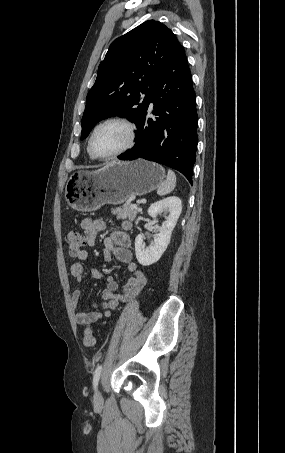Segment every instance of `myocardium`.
<instances>
[{"label":"myocardium","instance_id":"myocardium-1","mask_svg":"<svg viewBox=\"0 0 285 453\" xmlns=\"http://www.w3.org/2000/svg\"><path fill=\"white\" fill-rule=\"evenodd\" d=\"M108 123H120V124L124 125L128 129L129 139H128L127 144L124 147H122L121 149H119L118 151L111 153L109 155L102 156V155L97 154L94 151L93 139H94V136H95L97 130L100 127H102ZM137 137H138V128H137V125L135 124V122H133L131 119H129L125 116H111V117H108V118L102 120L93 128V130L90 134V137H89V141H88V150L95 159H99V160L114 159V158H117V157L125 154L129 150H131L136 144Z\"/></svg>","mask_w":285,"mask_h":453}]
</instances>
